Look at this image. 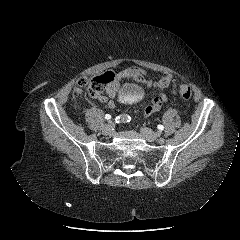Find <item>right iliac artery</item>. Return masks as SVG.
Segmentation results:
<instances>
[{
	"mask_svg": "<svg viewBox=\"0 0 240 240\" xmlns=\"http://www.w3.org/2000/svg\"><path fill=\"white\" fill-rule=\"evenodd\" d=\"M131 117L127 114H121L115 118L116 123H127L130 122Z\"/></svg>",
	"mask_w": 240,
	"mask_h": 240,
	"instance_id": "1",
	"label": "right iliac artery"
}]
</instances>
